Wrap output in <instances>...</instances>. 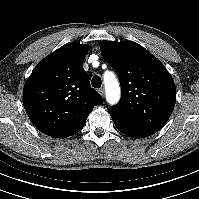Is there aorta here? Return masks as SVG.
<instances>
[{"label": "aorta", "mask_w": 199, "mask_h": 199, "mask_svg": "<svg viewBox=\"0 0 199 199\" xmlns=\"http://www.w3.org/2000/svg\"><path fill=\"white\" fill-rule=\"evenodd\" d=\"M104 85L106 90V100L109 104H116L120 99V86L115 75L111 72L105 73Z\"/></svg>", "instance_id": "1"}]
</instances>
